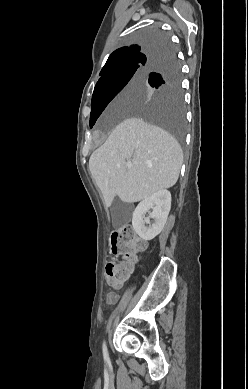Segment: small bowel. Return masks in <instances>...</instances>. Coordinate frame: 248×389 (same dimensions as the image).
I'll return each mask as SVG.
<instances>
[{"instance_id": "c3829d8e", "label": "small bowel", "mask_w": 248, "mask_h": 389, "mask_svg": "<svg viewBox=\"0 0 248 389\" xmlns=\"http://www.w3.org/2000/svg\"><path fill=\"white\" fill-rule=\"evenodd\" d=\"M106 301L109 305H113L118 301V294L115 292L108 293Z\"/></svg>"}]
</instances>
